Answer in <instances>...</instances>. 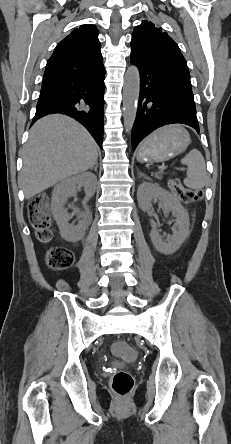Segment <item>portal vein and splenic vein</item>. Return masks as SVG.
<instances>
[{"instance_id":"1","label":"portal vein and splenic vein","mask_w":231,"mask_h":444,"mask_svg":"<svg viewBox=\"0 0 231 444\" xmlns=\"http://www.w3.org/2000/svg\"><path fill=\"white\" fill-rule=\"evenodd\" d=\"M164 168H165L164 166L161 167V169H164ZM181 170H184V168H182Z\"/></svg>"}]
</instances>
